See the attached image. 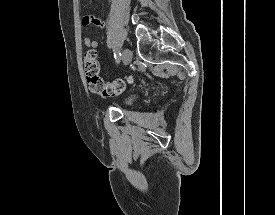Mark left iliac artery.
I'll return each instance as SVG.
<instances>
[{
	"mask_svg": "<svg viewBox=\"0 0 275 215\" xmlns=\"http://www.w3.org/2000/svg\"><path fill=\"white\" fill-rule=\"evenodd\" d=\"M114 57L116 59V61H119V58L121 57V53L118 50H114Z\"/></svg>",
	"mask_w": 275,
	"mask_h": 215,
	"instance_id": "obj_1",
	"label": "left iliac artery"
}]
</instances>
